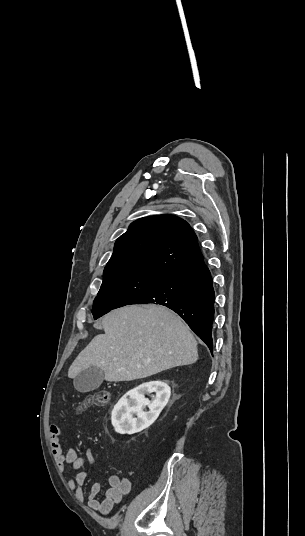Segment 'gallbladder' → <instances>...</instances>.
<instances>
[{
    "instance_id": "obj_1",
    "label": "gallbladder",
    "mask_w": 305,
    "mask_h": 536,
    "mask_svg": "<svg viewBox=\"0 0 305 536\" xmlns=\"http://www.w3.org/2000/svg\"><path fill=\"white\" fill-rule=\"evenodd\" d=\"M104 380V372L98 366H89L86 370H82L76 378H73L75 390L78 392H92L101 386Z\"/></svg>"
}]
</instances>
